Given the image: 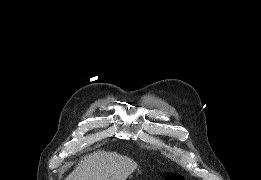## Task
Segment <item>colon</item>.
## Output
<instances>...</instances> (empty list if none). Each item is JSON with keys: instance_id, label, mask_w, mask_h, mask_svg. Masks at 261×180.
Here are the masks:
<instances>
[{"instance_id": "5ec220e1", "label": "colon", "mask_w": 261, "mask_h": 180, "mask_svg": "<svg viewBox=\"0 0 261 180\" xmlns=\"http://www.w3.org/2000/svg\"><path fill=\"white\" fill-rule=\"evenodd\" d=\"M166 180H184V176L180 173L173 172L167 175Z\"/></svg>"}]
</instances>
